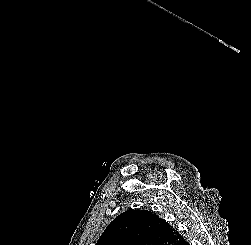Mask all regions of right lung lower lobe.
Returning a JSON list of instances; mask_svg holds the SVG:
<instances>
[{
	"mask_svg": "<svg viewBox=\"0 0 251 245\" xmlns=\"http://www.w3.org/2000/svg\"><path fill=\"white\" fill-rule=\"evenodd\" d=\"M176 245H189V243H188L187 241H185V240L183 239V237H182V239H181L180 241H178V242L176 243Z\"/></svg>",
	"mask_w": 251,
	"mask_h": 245,
	"instance_id": "98d812e1",
	"label": "right lung lower lobe"
}]
</instances>
